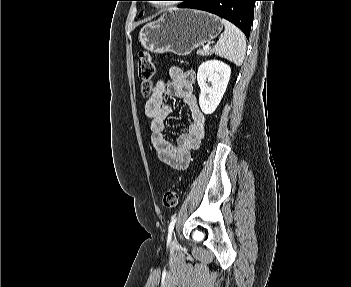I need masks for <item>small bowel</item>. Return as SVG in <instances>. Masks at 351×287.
<instances>
[{"instance_id":"small-bowel-1","label":"small bowel","mask_w":351,"mask_h":287,"mask_svg":"<svg viewBox=\"0 0 351 287\" xmlns=\"http://www.w3.org/2000/svg\"><path fill=\"white\" fill-rule=\"evenodd\" d=\"M195 74L178 66L168 71V78L159 80L152 96L145 103V115L150 120L151 141L158 158L167 166L185 169L203 137L205 115L198 105L194 93ZM165 96L181 99L187 106L191 122L184 131L170 141L166 134V121L171 114V107L165 102Z\"/></svg>"}]
</instances>
